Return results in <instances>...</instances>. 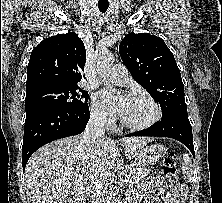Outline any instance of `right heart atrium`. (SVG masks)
<instances>
[{
  "instance_id": "right-heart-atrium-1",
  "label": "right heart atrium",
  "mask_w": 222,
  "mask_h": 203,
  "mask_svg": "<svg viewBox=\"0 0 222 203\" xmlns=\"http://www.w3.org/2000/svg\"><path fill=\"white\" fill-rule=\"evenodd\" d=\"M91 117L101 124H110L114 118L113 114L96 100L91 104Z\"/></svg>"
}]
</instances>
